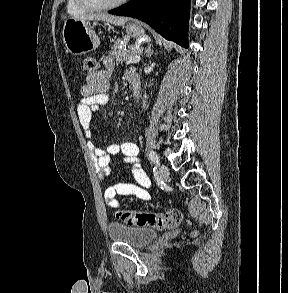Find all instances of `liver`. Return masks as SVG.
Here are the masks:
<instances>
[{"label": "liver", "instance_id": "6515ba94", "mask_svg": "<svg viewBox=\"0 0 288 293\" xmlns=\"http://www.w3.org/2000/svg\"><path fill=\"white\" fill-rule=\"evenodd\" d=\"M73 18L82 21H104L115 25H124L128 21V17H119L107 13L74 15Z\"/></svg>", "mask_w": 288, "mask_h": 293}]
</instances>
